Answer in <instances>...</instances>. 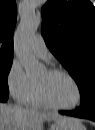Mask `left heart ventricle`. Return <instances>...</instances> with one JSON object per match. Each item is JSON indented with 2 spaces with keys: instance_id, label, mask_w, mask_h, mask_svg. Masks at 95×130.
I'll list each match as a JSON object with an SVG mask.
<instances>
[{
  "instance_id": "left-heart-ventricle-1",
  "label": "left heart ventricle",
  "mask_w": 95,
  "mask_h": 130,
  "mask_svg": "<svg viewBox=\"0 0 95 130\" xmlns=\"http://www.w3.org/2000/svg\"><path fill=\"white\" fill-rule=\"evenodd\" d=\"M47 96L61 106H72L77 101V90L73 82L64 75H50L44 71L37 79Z\"/></svg>"
}]
</instances>
